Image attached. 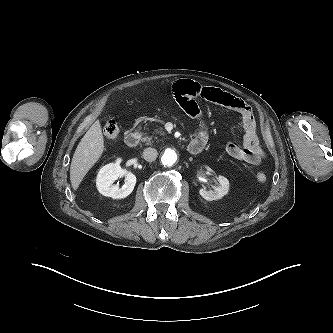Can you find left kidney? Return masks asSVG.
<instances>
[{
  "label": "left kidney",
  "instance_id": "1",
  "mask_svg": "<svg viewBox=\"0 0 333 333\" xmlns=\"http://www.w3.org/2000/svg\"><path fill=\"white\" fill-rule=\"evenodd\" d=\"M217 180L220 183L219 187L214 188V190L200 189L199 194L207 201H213L221 199L228 193L229 181L226 177L219 175Z\"/></svg>",
  "mask_w": 333,
  "mask_h": 333
}]
</instances>
